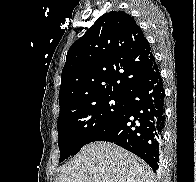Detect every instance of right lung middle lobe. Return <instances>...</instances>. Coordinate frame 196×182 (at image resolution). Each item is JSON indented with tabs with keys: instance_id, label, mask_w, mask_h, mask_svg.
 Returning a JSON list of instances; mask_svg holds the SVG:
<instances>
[{
	"instance_id": "right-lung-middle-lobe-1",
	"label": "right lung middle lobe",
	"mask_w": 196,
	"mask_h": 182,
	"mask_svg": "<svg viewBox=\"0 0 196 182\" xmlns=\"http://www.w3.org/2000/svg\"><path fill=\"white\" fill-rule=\"evenodd\" d=\"M125 97L101 96L64 110L58 118L59 162L78 153L124 107Z\"/></svg>"
}]
</instances>
